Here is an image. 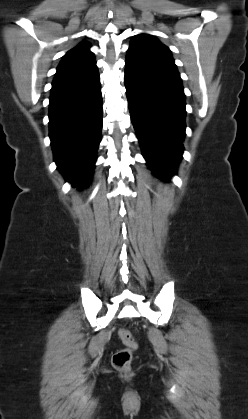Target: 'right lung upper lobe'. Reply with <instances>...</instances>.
<instances>
[{
	"mask_svg": "<svg viewBox=\"0 0 248 419\" xmlns=\"http://www.w3.org/2000/svg\"><path fill=\"white\" fill-rule=\"evenodd\" d=\"M89 48L88 43L82 42L66 53L57 67L56 76L79 70L94 63V54Z\"/></svg>",
	"mask_w": 248,
	"mask_h": 419,
	"instance_id": "right-lung-upper-lobe-1",
	"label": "right lung upper lobe"
}]
</instances>
